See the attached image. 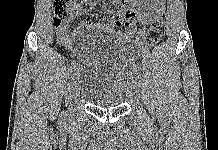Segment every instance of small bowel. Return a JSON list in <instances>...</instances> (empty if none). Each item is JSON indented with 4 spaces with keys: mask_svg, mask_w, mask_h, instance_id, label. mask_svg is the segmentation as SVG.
<instances>
[{
    "mask_svg": "<svg viewBox=\"0 0 218 150\" xmlns=\"http://www.w3.org/2000/svg\"><path fill=\"white\" fill-rule=\"evenodd\" d=\"M92 0H74L70 18L61 22L57 29L56 36L60 45L71 48L75 39L89 30L116 33L107 23H94L91 16L94 14L85 12V6ZM115 6H123L125 9L120 11L123 15V26L125 30H134L136 21L142 24L152 23L157 16L164 10L167 0H112ZM86 14L80 24L70 31L74 20ZM120 33V32H119ZM119 33H116L117 35Z\"/></svg>",
    "mask_w": 218,
    "mask_h": 150,
    "instance_id": "1",
    "label": "small bowel"
}]
</instances>
